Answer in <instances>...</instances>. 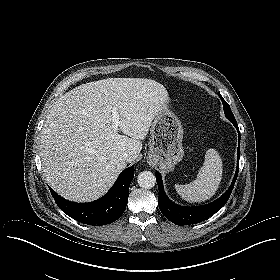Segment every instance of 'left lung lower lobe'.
Segmentation results:
<instances>
[{"label": "left lung lower lobe", "mask_w": 280, "mask_h": 280, "mask_svg": "<svg viewBox=\"0 0 280 280\" xmlns=\"http://www.w3.org/2000/svg\"><path fill=\"white\" fill-rule=\"evenodd\" d=\"M233 124L239 132L238 125L236 123ZM239 158H240V134H239L238 153H237V169L233 181L231 183V186L219 199L205 206L186 207V206H179L173 203L172 201H170L163 190L162 177L159 172H156V180L159 188L158 204L162 214L174 224L182 226V225L199 223L209 218L216 212H218L225 205L233 190L239 171Z\"/></svg>", "instance_id": "obj_1"}]
</instances>
